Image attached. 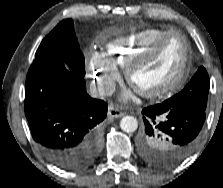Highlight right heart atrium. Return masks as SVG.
<instances>
[{"label":"right heart atrium","mask_w":223,"mask_h":188,"mask_svg":"<svg viewBox=\"0 0 223 188\" xmlns=\"http://www.w3.org/2000/svg\"><path fill=\"white\" fill-rule=\"evenodd\" d=\"M88 68L97 91L103 95L111 93L118 78V71L106 56L99 52H93Z\"/></svg>","instance_id":"1"}]
</instances>
